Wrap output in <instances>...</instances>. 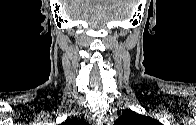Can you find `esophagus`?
<instances>
[{
	"label": "esophagus",
	"instance_id": "1",
	"mask_svg": "<svg viewBox=\"0 0 196 125\" xmlns=\"http://www.w3.org/2000/svg\"><path fill=\"white\" fill-rule=\"evenodd\" d=\"M98 125H109V123L101 118L98 120Z\"/></svg>",
	"mask_w": 196,
	"mask_h": 125
}]
</instances>
